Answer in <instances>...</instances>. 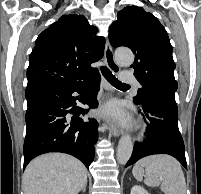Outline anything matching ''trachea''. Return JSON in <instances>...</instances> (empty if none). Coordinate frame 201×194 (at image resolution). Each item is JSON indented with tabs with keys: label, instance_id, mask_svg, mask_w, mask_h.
Instances as JSON below:
<instances>
[{
	"label": "trachea",
	"instance_id": "trachea-1",
	"mask_svg": "<svg viewBox=\"0 0 201 194\" xmlns=\"http://www.w3.org/2000/svg\"><path fill=\"white\" fill-rule=\"evenodd\" d=\"M101 72L107 81L114 87H126L129 86L120 82L107 67H101Z\"/></svg>",
	"mask_w": 201,
	"mask_h": 194
}]
</instances>
